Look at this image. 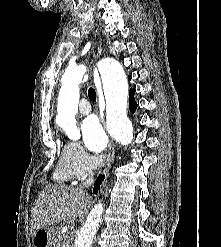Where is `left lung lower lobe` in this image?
<instances>
[{"mask_svg":"<svg viewBox=\"0 0 221 247\" xmlns=\"http://www.w3.org/2000/svg\"><path fill=\"white\" fill-rule=\"evenodd\" d=\"M131 79V77H129ZM135 89H130L129 91V109L131 113H134L137 108V103L134 98Z\"/></svg>","mask_w":221,"mask_h":247,"instance_id":"0a47b994","label":"left lung lower lobe"}]
</instances>
